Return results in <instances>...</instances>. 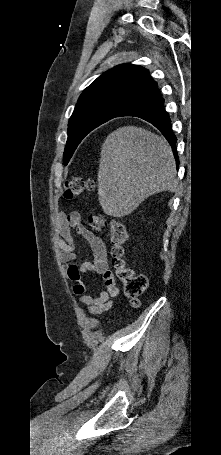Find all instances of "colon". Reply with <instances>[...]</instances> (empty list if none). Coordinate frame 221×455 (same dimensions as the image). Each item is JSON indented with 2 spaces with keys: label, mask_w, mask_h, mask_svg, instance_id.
Instances as JSON below:
<instances>
[{
  "label": "colon",
  "mask_w": 221,
  "mask_h": 455,
  "mask_svg": "<svg viewBox=\"0 0 221 455\" xmlns=\"http://www.w3.org/2000/svg\"><path fill=\"white\" fill-rule=\"evenodd\" d=\"M94 188L95 182L92 179L72 177L66 181L64 197L70 200L86 191H92ZM88 223L98 233L108 228L115 278L122 283L124 292L133 305L137 306L139 297L147 288L148 280L145 275L136 274L127 264L125 246L128 234L124 225L117 220L108 221L106 215L102 213H92L88 218Z\"/></svg>",
  "instance_id": "colon-1"
}]
</instances>
